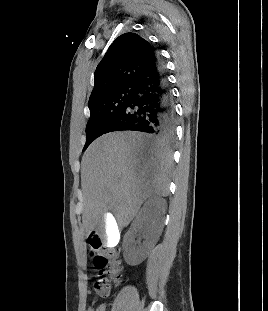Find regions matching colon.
Returning a JSON list of instances; mask_svg holds the SVG:
<instances>
[{"instance_id":"obj_1","label":"colon","mask_w":268,"mask_h":311,"mask_svg":"<svg viewBox=\"0 0 268 311\" xmlns=\"http://www.w3.org/2000/svg\"><path fill=\"white\" fill-rule=\"evenodd\" d=\"M102 239L97 233H92L88 237L90 247V258L99 270V278L94 281L93 287L100 296L109 293L114 284L118 283L122 277V266L119 259V249L112 247L108 249L102 246ZM97 311H103L100 307Z\"/></svg>"}]
</instances>
